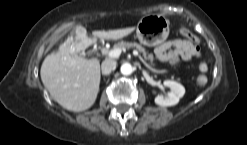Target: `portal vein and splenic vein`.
I'll return each instance as SVG.
<instances>
[{
    "label": "portal vein and splenic vein",
    "instance_id": "obj_1",
    "mask_svg": "<svg viewBox=\"0 0 247 145\" xmlns=\"http://www.w3.org/2000/svg\"><path fill=\"white\" fill-rule=\"evenodd\" d=\"M121 52H122L121 49H113V50H111V51H109V52L107 53V56H108L109 58H118V57L120 56ZM133 54H134L135 56H138V55H139V53H138L137 50H134V51H133Z\"/></svg>",
    "mask_w": 247,
    "mask_h": 145
}]
</instances>
